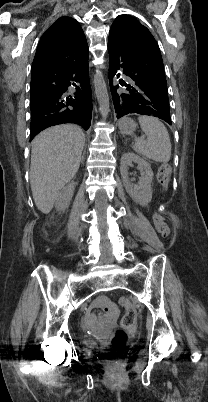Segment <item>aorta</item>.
Wrapping results in <instances>:
<instances>
[{"label": "aorta", "mask_w": 208, "mask_h": 402, "mask_svg": "<svg viewBox=\"0 0 208 402\" xmlns=\"http://www.w3.org/2000/svg\"><path fill=\"white\" fill-rule=\"evenodd\" d=\"M94 88L98 104L101 108L102 118H107L109 114L110 102L105 80L101 74L94 76Z\"/></svg>", "instance_id": "obj_1"}]
</instances>
